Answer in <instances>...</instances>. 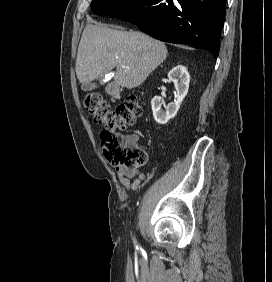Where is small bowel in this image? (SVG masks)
Returning <instances> with one entry per match:
<instances>
[{"label": "small bowel", "instance_id": "c3829d8e", "mask_svg": "<svg viewBox=\"0 0 272 282\" xmlns=\"http://www.w3.org/2000/svg\"><path fill=\"white\" fill-rule=\"evenodd\" d=\"M129 138L134 144L139 142L138 135H131ZM116 173L122 185L128 190H137L142 183L147 181L146 174L141 171L116 169ZM130 180H132V183H130Z\"/></svg>", "mask_w": 272, "mask_h": 282}]
</instances>
